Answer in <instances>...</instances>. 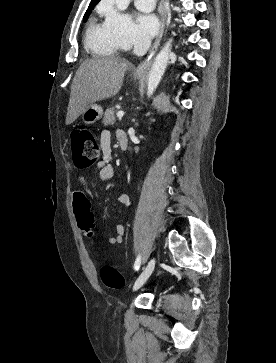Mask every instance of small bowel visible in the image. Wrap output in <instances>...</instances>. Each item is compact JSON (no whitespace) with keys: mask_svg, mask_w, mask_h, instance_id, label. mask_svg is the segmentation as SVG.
<instances>
[{"mask_svg":"<svg viewBox=\"0 0 276 363\" xmlns=\"http://www.w3.org/2000/svg\"><path fill=\"white\" fill-rule=\"evenodd\" d=\"M122 132L121 130L117 132ZM116 134V135H117ZM100 147L102 150V160L97 163V168L99 169V178L102 181H110L114 177V167L110 164V154H111V134L108 131H104L100 137ZM76 183L79 185H85L86 179L84 176H77L75 178ZM118 202L125 206H131L132 202L127 194H120L117 198ZM72 204L74 211L79 218L83 220L92 221V213L90 211V200L87 194L80 189H75L72 191ZM82 230V229H81ZM87 237H92L94 235V224L87 230H82ZM125 235V226L123 224H117L115 226V235L108 238L109 244H120L123 242Z\"/></svg>","mask_w":276,"mask_h":363,"instance_id":"c3829d8e","label":"small bowel"}]
</instances>
